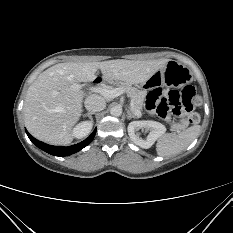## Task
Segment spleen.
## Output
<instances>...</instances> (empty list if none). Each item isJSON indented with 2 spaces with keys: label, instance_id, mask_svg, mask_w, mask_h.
Instances as JSON below:
<instances>
[{
  "label": "spleen",
  "instance_id": "1",
  "mask_svg": "<svg viewBox=\"0 0 233 233\" xmlns=\"http://www.w3.org/2000/svg\"><path fill=\"white\" fill-rule=\"evenodd\" d=\"M200 126L194 125L181 133H167L159 138L156 144L160 156L175 155L185 150L199 136Z\"/></svg>",
  "mask_w": 233,
  "mask_h": 233
}]
</instances>
